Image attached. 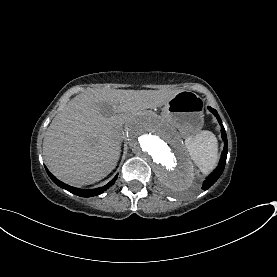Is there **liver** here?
Wrapping results in <instances>:
<instances>
[{
    "label": "liver",
    "instance_id": "6515ba94",
    "mask_svg": "<svg viewBox=\"0 0 277 277\" xmlns=\"http://www.w3.org/2000/svg\"><path fill=\"white\" fill-rule=\"evenodd\" d=\"M174 96L158 90H90L75 96L44 135L50 170L73 184H92L117 165L129 122L143 109L161 107Z\"/></svg>",
    "mask_w": 277,
    "mask_h": 277
}]
</instances>
